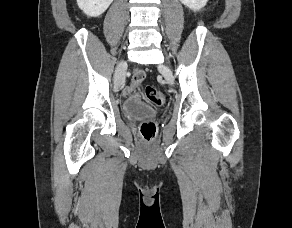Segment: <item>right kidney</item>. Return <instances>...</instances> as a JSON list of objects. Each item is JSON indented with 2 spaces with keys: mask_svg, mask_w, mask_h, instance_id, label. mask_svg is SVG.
I'll return each mask as SVG.
<instances>
[{
  "mask_svg": "<svg viewBox=\"0 0 292 228\" xmlns=\"http://www.w3.org/2000/svg\"><path fill=\"white\" fill-rule=\"evenodd\" d=\"M113 0H77L79 8L90 17L102 15Z\"/></svg>",
  "mask_w": 292,
  "mask_h": 228,
  "instance_id": "1",
  "label": "right kidney"
}]
</instances>
